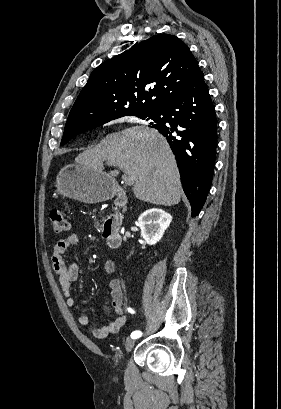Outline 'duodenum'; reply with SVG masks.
Listing matches in <instances>:
<instances>
[{"instance_id":"410a0bca","label":"duodenum","mask_w":281,"mask_h":409,"mask_svg":"<svg viewBox=\"0 0 281 409\" xmlns=\"http://www.w3.org/2000/svg\"><path fill=\"white\" fill-rule=\"evenodd\" d=\"M113 195V202L122 205L126 202V186H115ZM103 233L107 239L108 245L112 249H119L122 245V237L120 232L116 229L111 219H105L102 224Z\"/></svg>"}]
</instances>
